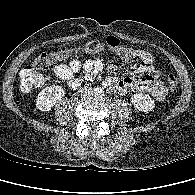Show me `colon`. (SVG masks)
I'll list each match as a JSON object with an SVG mask.
<instances>
[{
    "label": "colon",
    "instance_id": "5ec220e1",
    "mask_svg": "<svg viewBox=\"0 0 195 195\" xmlns=\"http://www.w3.org/2000/svg\"><path fill=\"white\" fill-rule=\"evenodd\" d=\"M106 51L115 53L123 61H132L136 58V49L123 46L119 39L114 36H108L103 41L92 40L82 46H71L50 53H43L20 71L21 89L25 92H30L41 86L45 81V77L39 73V70H47L54 62L66 60L73 56L99 54ZM167 80L171 92H176L178 80L175 75L168 73Z\"/></svg>",
    "mask_w": 195,
    "mask_h": 195
}]
</instances>
